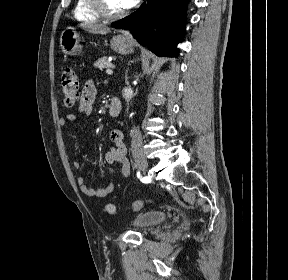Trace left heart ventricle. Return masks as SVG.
<instances>
[{
    "instance_id": "left-heart-ventricle-1",
    "label": "left heart ventricle",
    "mask_w": 288,
    "mask_h": 280,
    "mask_svg": "<svg viewBox=\"0 0 288 280\" xmlns=\"http://www.w3.org/2000/svg\"><path fill=\"white\" fill-rule=\"evenodd\" d=\"M106 7L110 12L116 13L123 11L119 0H105Z\"/></svg>"
}]
</instances>
